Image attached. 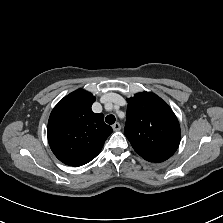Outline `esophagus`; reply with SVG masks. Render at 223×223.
I'll use <instances>...</instances> for the list:
<instances>
[{"label":"esophagus","mask_w":223,"mask_h":223,"mask_svg":"<svg viewBox=\"0 0 223 223\" xmlns=\"http://www.w3.org/2000/svg\"><path fill=\"white\" fill-rule=\"evenodd\" d=\"M112 128L114 131H119L121 129V126L118 122H116L112 125Z\"/></svg>","instance_id":"esophagus-1"}]
</instances>
